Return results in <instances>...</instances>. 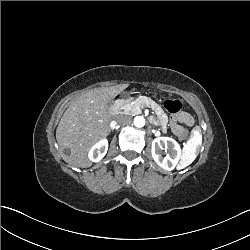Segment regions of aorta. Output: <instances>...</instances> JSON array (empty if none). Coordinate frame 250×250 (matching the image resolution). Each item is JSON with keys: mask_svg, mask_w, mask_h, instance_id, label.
Instances as JSON below:
<instances>
[{"mask_svg": "<svg viewBox=\"0 0 250 250\" xmlns=\"http://www.w3.org/2000/svg\"><path fill=\"white\" fill-rule=\"evenodd\" d=\"M134 125L136 127H143L145 125V117L144 116H136L134 118Z\"/></svg>", "mask_w": 250, "mask_h": 250, "instance_id": "1", "label": "aorta"}]
</instances>
